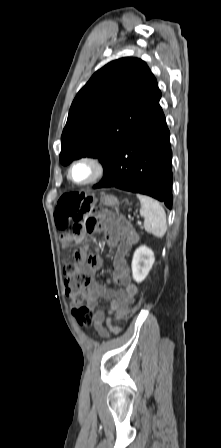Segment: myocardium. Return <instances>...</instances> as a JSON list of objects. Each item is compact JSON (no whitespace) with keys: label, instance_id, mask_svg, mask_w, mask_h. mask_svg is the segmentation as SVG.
Returning a JSON list of instances; mask_svg holds the SVG:
<instances>
[{"label":"myocardium","instance_id":"obj_1","mask_svg":"<svg viewBox=\"0 0 221 448\" xmlns=\"http://www.w3.org/2000/svg\"><path fill=\"white\" fill-rule=\"evenodd\" d=\"M77 164H87L90 165L93 170H94V174L93 176L88 179L87 181L84 182H77L72 178V169L74 168V166H76ZM107 173V168L105 163L98 157L96 156H91V155H86V156H81L79 158H76L75 160H73L71 162V164L69 165L68 171H67V176L68 179L75 185L77 186H90L93 184L98 183L99 181H101L105 175Z\"/></svg>","mask_w":221,"mask_h":448}]
</instances>
